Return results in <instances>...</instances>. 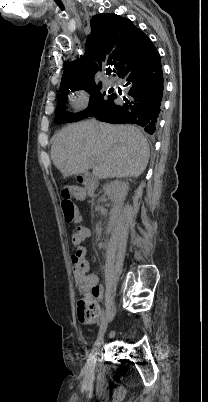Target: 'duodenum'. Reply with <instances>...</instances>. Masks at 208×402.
Here are the masks:
<instances>
[{
    "mask_svg": "<svg viewBox=\"0 0 208 402\" xmlns=\"http://www.w3.org/2000/svg\"><path fill=\"white\" fill-rule=\"evenodd\" d=\"M78 181L85 185L87 194L89 196L93 195L96 189V181L93 177L89 175H80Z\"/></svg>",
    "mask_w": 208,
    "mask_h": 402,
    "instance_id": "obj_1",
    "label": "duodenum"
}]
</instances>
